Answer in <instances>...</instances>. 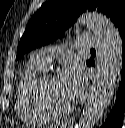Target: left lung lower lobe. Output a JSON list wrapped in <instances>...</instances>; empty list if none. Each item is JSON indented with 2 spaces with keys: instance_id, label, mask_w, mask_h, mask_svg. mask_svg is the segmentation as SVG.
Returning <instances> with one entry per match:
<instances>
[{
  "instance_id": "1",
  "label": "left lung lower lobe",
  "mask_w": 125,
  "mask_h": 128,
  "mask_svg": "<svg viewBox=\"0 0 125 128\" xmlns=\"http://www.w3.org/2000/svg\"><path fill=\"white\" fill-rule=\"evenodd\" d=\"M118 32L122 40L121 81L119 84L115 105L101 128H121L123 114L125 111V22L118 27ZM87 65L94 66V60L90 59L87 62Z\"/></svg>"
}]
</instances>
